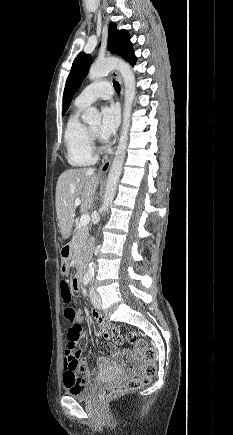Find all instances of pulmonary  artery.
Instances as JSON below:
<instances>
[{
  "label": "pulmonary artery",
  "instance_id": "e3ab8cb5",
  "mask_svg": "<svg viewBox=\"0 0 233 435\" xmlns=\"http://www.w3.org/2000/svg\"><path fill=\"white\" fill-rule=\"evenodd\" d=\"M112 87L107 81H96L88 85L75 99V104L86 107L98 99H110Z\"/></svg>",
  "mask_w": 233,
  "mask_h": 435
}]
</instances>
